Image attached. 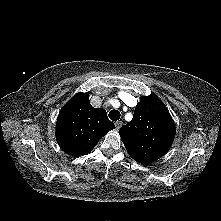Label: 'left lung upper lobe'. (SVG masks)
Listing matches in <instances>:
<instances>
[{
    "mask_svg": "<svg viewBox=\"0 0 221 221\" xmlns=\"http://www.w3.org/2000/svg\"><path fill=\"white\" fill-rule=\"evenodd\" d=\"M128 154L141 164L151 163L170 149L175 125L170 113L156 96H143L133 119L119 130Z\"/></svg>",
    "mask_w": 221,
    "mask_h": 221,
    "instance_id": "left-lung-upper-lobe-1",
    "label": "left lung upper lobe"
}]
</instances>
